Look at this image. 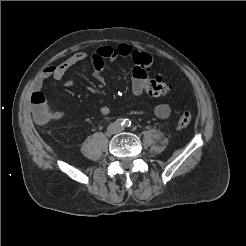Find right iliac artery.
Instances as JSON below:
<instances>
[{
    "instance_id": "1",
    "label": "right iliac artery",
    "mask_w": 246,
    "mask_h": 246,
    "mask_svg": "<svg viewBox=\"0 0 246 246\" xmlns=\"http://www.w3.org/2000/svg\"><path fill=\"white\" fill-rule=\"evenodd\" d=\"M115 124H116L117 126H123V125H124V119H122V118L117 119V120L115 121Z\"/></svg>"
}]
</instances>
